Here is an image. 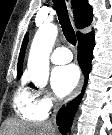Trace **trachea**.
<instances>
[{"label":"trachea","instance_id":"3493384b","mask_svg":"<svg viewBox=\"0 0 112 135\" xmlns=\"http://www.w3.org/2000/svg\"><path fill=\"white\" fill-rule=\"evenodd\" d=\"M59 22L61 24V28L63 31V34L66 38V40L71 44V45H76V35L74 32V29L71 25L66 3L64 0H53Z\"/></svg>","mask_w":112,"mask_h":135}]
</instances>
